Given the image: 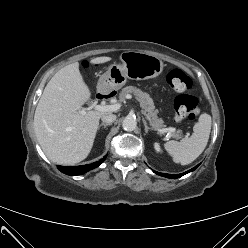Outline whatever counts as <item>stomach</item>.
<instances>
[{
	"mask_svg": "<svg viewBox=\"0 0 248 248\" xmlns=\"http://www.w3.org/2000/svg\"><path fill=\"white\" fill-rule=\"evenodd\" d=\"M121 64H112L100 77L98 90L108 94L123 87L128 79L145 80L155 78L163 71V62L158 57L137 51H124Z\"/></svg>",
	"mask_w": 248,
	"mask_h": 248,
	"instance_id": "1",
	"label": "stomach"
}]
</instances>
